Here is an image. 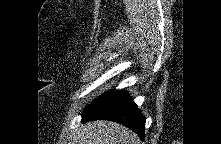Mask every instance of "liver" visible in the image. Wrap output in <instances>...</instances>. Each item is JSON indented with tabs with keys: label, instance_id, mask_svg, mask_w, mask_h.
Wrapping results in <instances>:
<instances>
[{
	"label": "liver",
	"instance_id": "6515ba94",
	"mask_svg": "<svg viewBox=\"0 0 221 144\" xmlns=\"http://www.w3.org/2000/svg\"><path fill=\"white\" fill-rule=\"evenodd\" d=\"M79 144H140L130 129L113 121H90L77 131Z\"/></svg>",
	"mask_w": 221,
	"mask_h": 144
}]
</instances>
